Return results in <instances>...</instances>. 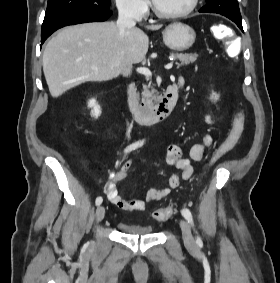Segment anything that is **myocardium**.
<instances>
[{"mask_svg":"<svg viewBox=\"0 0 280 283\" xmlns=\"http://www.w3.org/2000/svg\"><path fill=\"white\" fill-rule=\"evenodd\" d=\"M199 0H191L190 5L188 6L187 9L177 12V13H164L160 11L157 6L155 5L154 0H152L151 5L154 14L161 18V19H166V20H175V19H181L184 18L188 15H190L197 7Z\"/></svg>","mask_w":280,"mask_h":283,"instance_id":"myocardium-1","label":"myocardium"}]
</instances>
